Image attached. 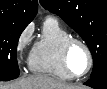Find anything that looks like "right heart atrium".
Wrapping results in <instances>:
<instances>
[{"instance_id": "1", "label": "right heart atrium", "mask_w": 107, "mask_h": 89, "mask_svg": "<svg viewBox=\"0 0 107 89\" xmlns=\"http://www.w3.org/2000/svg\"><path fill=\"white\" fill-rule=\"evenodd\" d=\"M32 33H33V27L29 25L23 30V32L20 34L18 38V41L16 44V51H17V56L19 61L23 59V56L25 55L28 49V46L32 37Z\"/></svg>"}]
</instances>
